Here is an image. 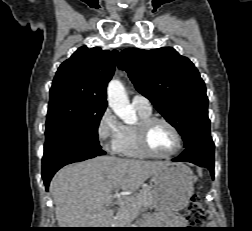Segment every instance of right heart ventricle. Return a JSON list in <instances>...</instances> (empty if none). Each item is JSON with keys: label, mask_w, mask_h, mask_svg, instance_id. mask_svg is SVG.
<instances>
[{"label": "right heart ventricle", "mask_w": 252, "mask_h": 231, "mask_svg": "<svg viewBox=\"0 0 252 231\" xmlns=\"http://www.w3.org/2000/svg\"><path fill=\"white\" fill-rule=\"evenodd\" d=\"M140 120L151 117V111L136 108ZM118 153L128 157L144 158L147 156L139 144L137 139L136 125H123L122 137L118 146Z\"/></svg>", "instance_id": "1"}]
</instances>
